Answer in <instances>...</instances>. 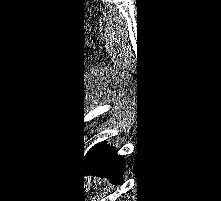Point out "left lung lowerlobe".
<instances>
[{
    "label": "left lung lower lobe",
    "instance_id": "left-lung-lower-lobe-1",
    "mask_svg": "<svg viewBox=\"0 0 221 201\" xmlns=\"http://www.w3.org/2000/svg\"><path fill=\"white\" fill-rule=\"evenodd\" d=\"M118 154L107 143L94 142L81 156L83 173L110 178L115 184L127 179L129 174V160L125 152Z\"/></svg>",
    "mask_w": 221,
    "mask_h": 201
}]
</instances>
